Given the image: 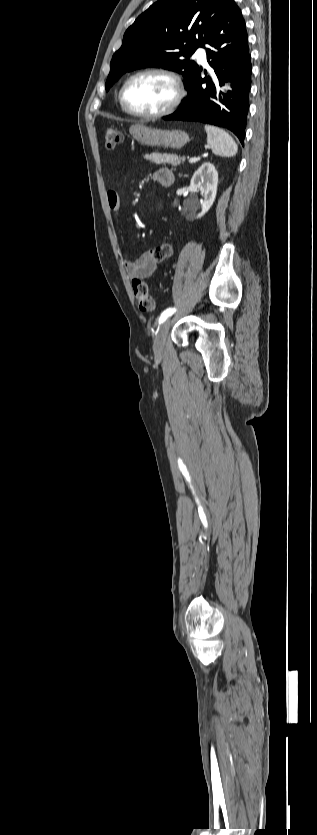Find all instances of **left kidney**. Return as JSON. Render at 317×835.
<instances>
[{
    "label": "left kidney",
    "instance_id": "5707ae66",
    "mask_svg": "<svg viewBox=\"0 0 317 835\" xmlns=\"http://www.w3.org/2000/svg\"><path fill=\"white\" fill-rule=\"evenodd\" d=\"M217 186V170L210 162H204L194 173L190 182V188L199 190L203 196V200H201L202 210L197 214V219L203 217L212 207L217 193Z\"/></svg>",
    "mask_w": 317,
    "mask_h": 835
}]
</instances>
